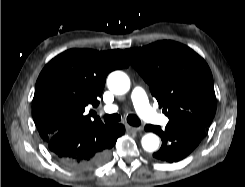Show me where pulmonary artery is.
<instances>
[{"label":"pulmonary artery","instance_id":"obj_1","mask_svg":"<svg viewBox=\"0 0 245 187\" xmlns=\"http://www.w3.org/2000/svg\"><path fill=\"white\" fill-rule=\"evenodd\" d=\"M131 100L134 105L136 112L145 120L154 124H166L168 118L158 113L154 108L151 107L145 91L140 87H135L131 91ZM118 107L116 105H108L104 107V112L115 113Z\"/></svg>","mask_w":245,"mask_h":187}]
</instances>
